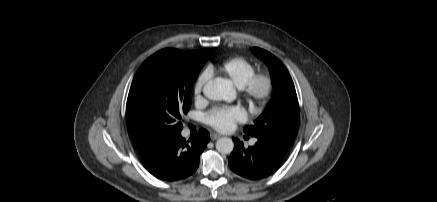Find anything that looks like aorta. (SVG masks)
Returning a JSON list of instances; mask_svg holds the SVG:
<instances>
[{
	"instance_id": "1",
	"label": "aorta",
	"mask_w": 437,
	"mask_h": 202,
	"mask_svg": "<svg viewBox=\"0 0 437 202\" xmlns=\"http://www.w3.org/2000/svg\"><path fill=\"white\" fill-rule=\"evenodd\" d=\"M204 95L211 100L232 102L236 98V92L230 81L217 78L207 82L203 87ZM232 139L222 137L216 142V149L221 154H230L233 151Z\"/></svg>"
}]
</instances>
